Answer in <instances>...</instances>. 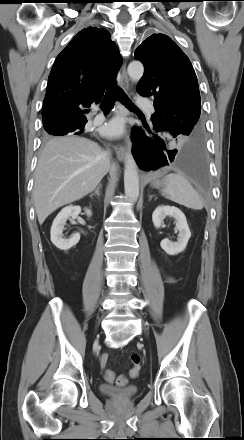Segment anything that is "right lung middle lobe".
Listing matches in <instances>:
<instances>
[{"mask_svg":"<svg viewBox=\"0 0 244 440\" xmlns=\"http://www.w3.org/2000/svg\"><path fill=\"white\" fill-rule=\"evenodd\" d=\"M44 129H45V136L46 137H48V136H63V135H66V134H68L69 132H67V129H66V124H61V125H57V124H55V125H51V126H49V127H45L44 126Z\"/></svg>","mask_w":244,"mask_h":440,"instance_id":"obj_1","label":"right lung middle lobe"}]
</instances>
